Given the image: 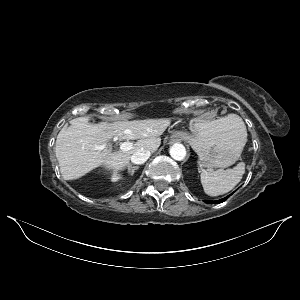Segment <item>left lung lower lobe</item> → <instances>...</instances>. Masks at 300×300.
Returning a JSON list of instances; mask_svg holds the SVG:
<instances>
[{"instance_id": "left-lung-lower-lobe-1", "label": "left lung lower lobe", "mask_w": 300, "mask_h": 300, "mask_svg": "<svg viewBox=\"0 0 300 300\" xmlns=\"http://www.w3.org/2000/svg\"><path fill=\"white\" fill-rule=\"evenodd\" d=\"M228 197H225L223 199H220L218 201H205L206 203H222L223 201H225Z\"/></svg>"}]
</instances>
